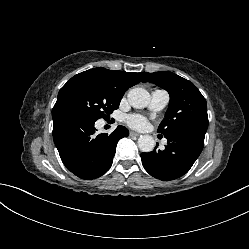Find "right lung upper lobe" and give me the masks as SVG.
<instances>
[{
	"label": "right lung upper lobe",
	"instance_id": "right-lung-upper-lobe-1",
	"mask_svg": "<svg viewBox=\"0 0 249 249\" xmlns=\"http://www.w3.org/2000/svg\"><path fill=\"white\" fill-rule=\"evenodd\" d=\"M90 73L111 87L118 94L124 95L125 91L139 83L145 78L146 73L124 72L108 70L105 68H94L85 71ZM144 82V81H143Z\"/></svg>",
	"mask_w": 249,
	"mask_h": 249
}]
</instances>
